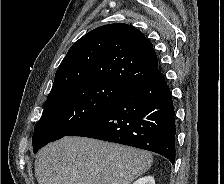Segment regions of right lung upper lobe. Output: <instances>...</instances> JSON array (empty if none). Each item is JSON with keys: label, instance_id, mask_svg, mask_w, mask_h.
I'll return each instance as SVG.
<instances>
[{"label": "right lung upper lobe", "instance_id": "right-lung-upper-lobe-1", "mask_svg": "<svg viewBox=\"0 0 224 184\" xmlns=\"http://www.w3.org/2000/svg\"><path fill=\"white\" fill-rule=\"evenodd\" d=\"M162 76L153 45L135 27H98L69 49L58 67L48 98L86 81H111L130 87Z\"/></svg>", "mask_w": 224, "mask_h": 184}]
</instances>
